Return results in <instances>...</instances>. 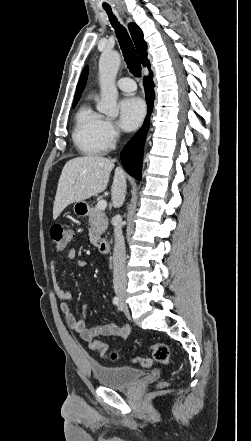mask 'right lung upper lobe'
<instances>
[{"mask_svg":"<svg viewBox=\"0 0 251 441\" xmlns=\"http://www.w3.org/2000/svg\"><path fill=\"white\" fill-rule=\"evenodd\" d=\"M128 28H129L130 34L132 36V39L134 41V44L136 46L138 56H139L141 63L143 64V66H147L148 69L150 70V63L147 58V44L143 40V33H142L141 29L135 23H130L128 25ZM87 76H88V67L86 66L83 69L82 74L79 79V82L77 84L74 101H79V99L81 97V93L83 92L86 81H87Z\"/></svg>","mask_w":251,"mask_h":441,"instance_id":"1","label":"right lung upper lobe"}]
</instances>
